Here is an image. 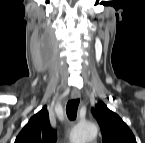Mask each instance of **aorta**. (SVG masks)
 <instances>
[{"label":"aorta","mask_w":145,"mask_h":143,"mask_svg":"<svg viewBox=\"0 0 145 143\" xmlns=\"http://www.w3.org/2000/svg\"><path fill=\"white\" fill-rule=\"evenodd\" d=\"M97 127L92 122L78 124L71 132V141L73 143H87L93 140L97 135Z\"/></svg>","instance_id":"obj_1"}]
</instances>
